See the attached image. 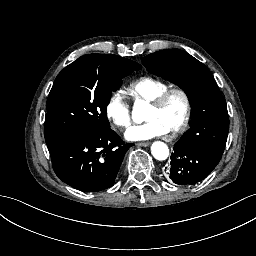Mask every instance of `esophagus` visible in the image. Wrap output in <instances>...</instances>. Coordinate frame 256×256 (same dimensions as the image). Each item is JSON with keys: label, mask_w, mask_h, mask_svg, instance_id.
<instances>
[{"label": "esophagus", "mask_w": 256, "mask_h": 256, "mask_svg": "<svg viewBox=\"0 0 256 256\" xmlns=\"http://www.w3.org/2000/svg\"><path fill=\"white\" fill-rule=\"evenodd\" d=\"M149 144H150L149 141H142V142H137V143H135V145H137V146H142V147H146V146H148Z\"/></svg>", "instance_id": "34e87169"}]
</instances>
